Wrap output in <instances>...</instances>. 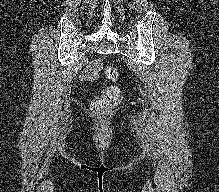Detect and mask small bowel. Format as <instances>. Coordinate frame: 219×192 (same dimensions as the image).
<instances>
[{
	"mask_svg": "<svg viewBox=\"0 0 219 192\" xmlns=\"http://www.w3.org/2000/svg\"><path fill=\"white\" fill-rule=\"evenodd\" d=\"M102 66V61L96 59L89 63V65L83 71V78L87 80H96L99 76V70Z\"/></svg>",
	"mask_w": 219,
	"mask_h": 192,
	"instance_id": "small-bowel-1",
	"label": "small bowel"
}]
</instances>
